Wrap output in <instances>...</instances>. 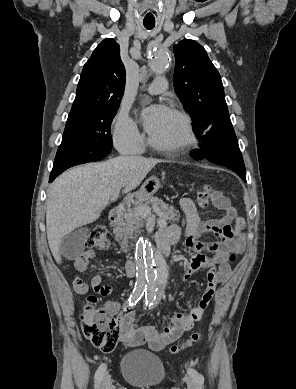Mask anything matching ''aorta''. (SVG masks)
Instances as JSON below:
<instances>
[{
	"label": "aorta",
	"instance_id": "aorta-1",
	"mask_svg": "<svg viewBox=\"0 0 296 389\" xmlns=\"http://www.w3.org/2000/svg\"><path fill=\"white\" fill-rule=\"evenodd\" d=\"M171 49L157 46L152 50L150 69L156 74H163L172 60ZM138 266L137 286L146 288L148 295L154 296L168 279V267L164 257L147 240H139L135 248Z\"/></svg>",
	"mask_w": 296,
	"mask_h": 389
}]
</instances>
